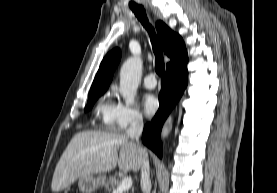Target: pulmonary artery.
I'll return each mask as SVG.
<instances>
[{"mask_svg": "<svg viewBox=\"0 0 277 193\" xmlns=\"http://www.w3.org/2000/svg\"><path fill=\"white\" fill-rule=\"evenodd\" d=\"M156 78L154 74H149L144 78V86L148 89H154L156 87Z\"/></svg>", "mask_w": 277, "mask_h": 193, "instance_id": "pulmonary-artery-1", "label": "pulmonary artery"}]
</instances>
